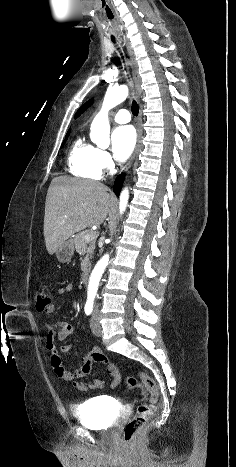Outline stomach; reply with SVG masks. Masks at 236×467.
<instances>
[{
  "label": "stomach",
  "mask_w": 236,
  "mask_h": 467,
  "mask_svg": "<svg viewBox=\"0 0 236 467\" xmlns=\"http://www.w3.org/2000/svg\"><path fill=\"white\" fill-rule=\"evenodd\" d=\"M56 257L59 262L66 263L69 262L74 254V245L71 240L65 241L61 244L56 250Z\"/></svg>",
  "instance_id": "stomach-1"
}]
</instances>
